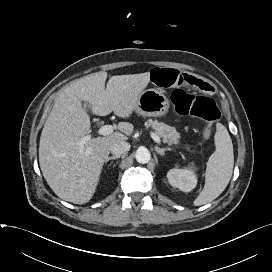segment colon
I'll return each instance as SVG.
<instances>
[{
  "label": "colon",
  "mask_w": 272,
  "mask_h": 272,
  "mask_svg": "<svg viewBox=\"0 0 272 272\" xmlns=\"http://www.w3.org/2000/svg\"><path fill=\"white\" fill-rule=\"evenodd\" d=\"M171 100L177 113L204 120L206 122L204 135L206 137L211 136L213 123L220 117V111L212 98L175 89L171 94Z\"/></svg>",
  "instance_id": "1"
}]
</instances>
